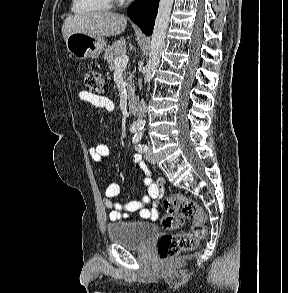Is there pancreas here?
Wrapping results in <instances>:
<instances>
[{
	"label": "pancreas",
	"instance_id": "cf45deb5",
	"mask_svg": "<svg viewBox=\"0 0 288 293\" xmlns=\"http://www.w3.org/2000/svg\"><path fill=\"white\" fill-rule=\"evenodd\" d=\"M126 44L123 40H118L112 43V45H109L105 51L104 58L109 63V68L111 71L115 69V61L118 57L126 54ZM126 73L124 71V77L128 83L127 90H128V96L131 97L134 93L133 88V75Z\"/></svg>",
	"mask_w": 288,
	"mask_h": 293
}]
</instances>
